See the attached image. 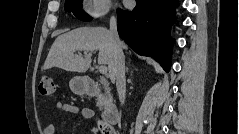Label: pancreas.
Wrapping results in <instances>:
<instances>
[{
  "instance_id": "pancreas-1",
  "label": "pancreas",
  "mask_w": 239,
  "mask_h": 134,
  "mask_svg": "<svg viewBox=\"0 0 239 134\" xmlns=\"http://www.w3.org/2000/svg\"><path fill=\"white\" fill-rule=\"evenodd\" d=\"M105 97H99L96 106L99 108V110H102L104 106L108 104V102L112 101V96L110 94V91L105 87Z\"/></svg>"
}]
</instances>
